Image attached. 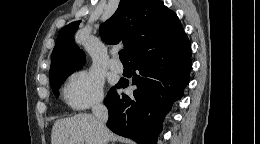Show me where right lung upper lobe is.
<instances>
[{
  "label": "right lung upper lobe",
  "mask_w": 260,
  "mask_h": 144,
  "mask_svg": "<svg viewBox=\"0 0 260 144\" xmlns=\"http://www.w3.org/2000/svg\"><path fill=\"white\" fill-rule=\"evenodd\" d=\"M80 22H72L58 33L49 75L84 65V52L74 42ZM183 34L177 15L158 0H121L113 16L100 26L103 41L122 42L129 60L175 41Z\"/></svg>",
  "instance_id": "obj_1"
}]
</instances>
